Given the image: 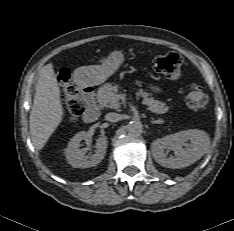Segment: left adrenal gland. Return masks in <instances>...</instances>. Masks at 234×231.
I'll return each instance as SVG.
<instances>
[{
    "label": "left adrenal gland",
    "instance_id": "1",
    "mask_svg": "<svg viewBox=\"0 0 234 231\" xmlns=\"http://www.w3.org/2000/svg\"><path fill=\"white\" fill-rule=\"evenodd\" d=\"M163 121L162 120H152V124H161Z\"/></svg>",
    "mask_w": 234,
    "mask_h": 231
}]
</instances>
